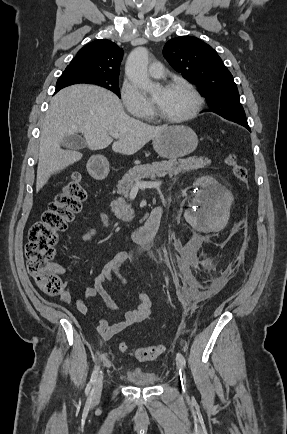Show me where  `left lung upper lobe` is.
Wrapping results in <instances>:
<instances>
[{"label":"left lung upper lobe","mask_w":287,"mask_h":434,"mask_svg":"<svg viewBox=\"0 0 287 434\" xmlns=\"http://www.w3.org/2000/svg\"><path fill=\"white\" fill-rule=\"evenodd\" d=\"M163 55L176 71L200 87L209 111L221 116L245 115L232 74L211 46L196 37L179 36L165 44Z\"/></svg>","instance_id":"1"}]
</instances>
